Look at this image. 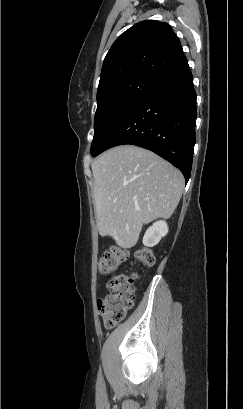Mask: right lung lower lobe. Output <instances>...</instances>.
<instances>
[{
    "instance_id": "98d812e1",
    "label": "right lung lower lobe",
    "mask_w": 243,
    "mask_h": 409,
    "mask_svg": "<svg viewBox=\"0 0 243 409\" xmlns=\"http://www.w3.org/2000/svg\"><path fill=\"white\" fill-rule=\"evenodd\" d=\"M196 117L193 76L184 57L158 80L109 137L101 152L123 144L149 149L180 169L187 182L192 167Z\"/></svg>"
}]
</instances>
